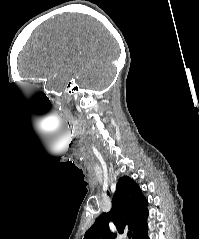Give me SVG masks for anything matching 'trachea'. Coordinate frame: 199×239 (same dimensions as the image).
<instances>
[{
    "label": "trachea",
    "instance_id": "3493384b",
    "mask_svg": "<svg viewBox=\"0 0 199 239\" xmlns=\"http://www.w3.org/2000/svg\"><path fill=\"white\" fill-rule=\"evenodd\" d=\"M128 237H129V239L132 237V232L131 231L128 232Z\"/></svg>",
    "mask_w": 199,
    "mask_h": 239
}]
</instances>
